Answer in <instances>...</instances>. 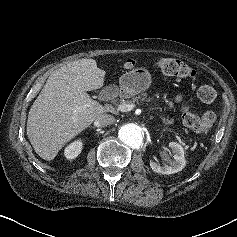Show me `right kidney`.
<instances>
[{"label": "right kidney", "instance_id": "ca27d5eb", "mask_svg": "<svg viewBox=\"0 0 237 237\" xmlns=\"http://www.w3.org/2000/svg\"><path fill=\"white\" fill-rule=\"evenodd\" d=\"M82 150V142L80 140L74 141L69 144L65 150L64 155L67 159H75Z\"/></svg>", "mask_w": 237, "mask_h": 237}]
</instances>
